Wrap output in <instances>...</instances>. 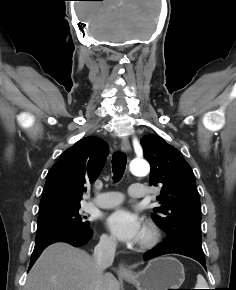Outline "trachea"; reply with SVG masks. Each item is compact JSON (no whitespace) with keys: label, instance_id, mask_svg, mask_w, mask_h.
I'll use <instances>...</instances> for the list:
<instances>
[{"label":"trachea","instance_id":"3493384b","mask_svg":"<svg viewBox=\"0 0 236 290\" xmlns=\"http://www.w3.org/2000/svg\"><path fill=\"white\" fill-rule=\"evenodd\" d=\"M127 163L126 155L122 152H117L112 156V169H113V180L115 182L119 181L125 172V167Z\"/></svg>","mask_w":236,"mask_h":290}]
</instances>
